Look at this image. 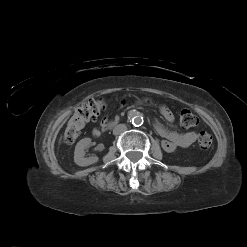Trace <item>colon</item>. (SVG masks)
<instances>
[{"label": "colon", "instance_id": "obj_1", "mask_svg": "<svg viewBox=\"0 0 247 247\" xmlns=\"http://www.w3.org/2000/svg\"><path fill=\"white\" fill-rule=\"evenodd\" d=\"M108 103L104 99H90L78 107L70 118L64 132L66 143H74L81 134L82 129L89 121L104 111ZM180 125L184 128H191L198 124L197 116L188 109H183L179 116ZM213 144L212 136L207 132H200L198 136V145L203 150H208Z\"/></svg>", "mask_w": 247, "mask_h": 247}]
</instances>
